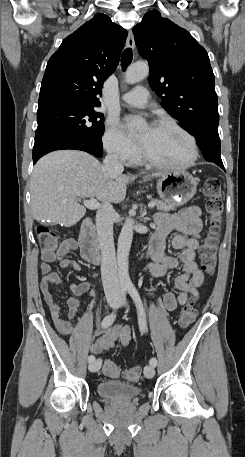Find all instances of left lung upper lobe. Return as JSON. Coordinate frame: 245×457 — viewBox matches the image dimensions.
<instances>
[{"label":"left lung upper lobe","mask_w":245,"mask_h":457,"mask_svg":"<svg viewBox=\"0 0 245 457\" xmlns=\"http://www.w3.org/2000/svg\"><path fill=\"white\" fill-rule=\"evenodd\" d=\"M135 43L150 66L149 84L161 106L185 130L219 122L215 77L205 49L188 31L148 11L133 28Z\"/></svg>","instance_id":"obj_1"}]
</instances>
